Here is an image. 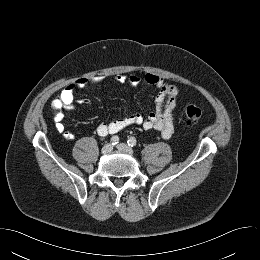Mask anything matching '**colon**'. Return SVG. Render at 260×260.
Wrapping results in <instances>:
<instances>
[{
  "label": "colon",
  "mask_w": 260,
  "mask_h": 260,
  "mask_svg": "<svg viewBox=\"0 0 260 260\" xmlns=\"http://www.w3.org/2000/svg\"><path fill=\"white\" fill-rule=\"evenodd\" d=\"M55 107H60V102L56 101L54 103ZM186 121L189 125H195L201 119L202 111L199 107L195 105H187L185 108Z\"/></svg>",
  "instance_id": "1"
}]
</instances>
